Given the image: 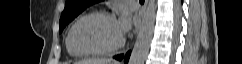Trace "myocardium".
I'll use <instances>...</instances> for the list:
<instances>
[{"label":"myocardium","instance_id":"1","mask_svg":"<svg viewBox=\"0 0 242 64\" xmlns=\"http://www.w3.org/2000/svg\"><path fill=\"white\" fill-rule=\"evenodd\" d=\"M93 17H101V18L115 20V16L113 14L108 13V12H103V11H94V12H90V13H87V14L81 16L79 19L76 20V22L71 27L70 34H69L70 44L73 47V49L81 55H109V54H112V53L116 52L117 50H119L125 43L124 37H122V39L114 46H112L110 48H105V49H85V48L80 47L76 43L75 32H76L77 27L83 21H85L89 18H93Z\"/></svg>","mask_w":242,"mask_h":64}]
</instances>
